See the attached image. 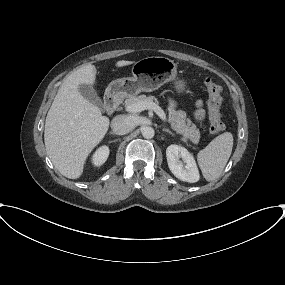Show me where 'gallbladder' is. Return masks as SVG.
Here are the masks:
<instances>
[{
  "label": "gallbladder",
  "instance_id": "obj_1",
  "mask_svg": "<svg viewBox=\"0 0 285 285\" xmlns=\"http://www.w3.org/2000/svg\"><path fill=\"white\" fill-rule=\"evenodd\" d=\"M80 94L87 99L88 101L92 102L101 110L104 109L103 102L100 97L97 95L95 89L91 85L82 84L78 88Z\"/></svg>",
  "mask_w": 285,
  "mask_h": 285
}]
</instances>
